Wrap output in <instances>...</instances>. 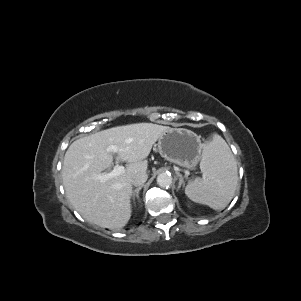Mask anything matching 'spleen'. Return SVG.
<instances>
[{"label": "spleen", "instance_id": "spleen-1", "mask_svg": "<svg viewBox=\"0 0 301 301\" xmlns=\"http://www.w3.org/2000/svg\"><path fill=\"white\" fill-rule=\"evenodd\" d=\"M200 169L202 178L190 182L185 194L193 202L224 209L235 194L238 174L235 158L221 136L204 145Z\"/></svg>", "mask_w": 301, "mask_h": 301}]
</instances>
